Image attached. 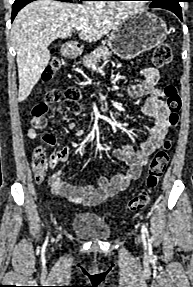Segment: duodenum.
<instances>
[{"mask_svg":"<svg viewBox=\"0 0 193 287\" xmlns=\"http://www.w3.org/2000/svg\"><path fill=\"white\" fill-rule=\"evenodd\" d=\"M63 54L66 59L74 60L78 58L80 54V47L76 43H67L63 47Z\"/></svg>","mask_w":193,"mask_h":287,"instance_id":"obj_1","label":"duodenum"}]
</instances>
